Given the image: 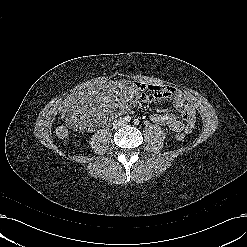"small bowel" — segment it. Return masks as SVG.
I'll return each instance as SVG.
<instances>
[{
  "label": "small bowel",
  "instance_id": "small-bowel-1",
  "mask_svg": "<svg viewBox=\"0 0 247 247\" xmlns=\"http://www.w3.org/2000/svg\"><path fill=\"white\" fill-rule=\"evenodd\" d=\"M141 91L152 90L153 96L142 95L141 99L145 102H153L156 99H171L173 100L176 109L182 116V119H177L170 113H155L150 115L151 121L159 125H163L172 131H183L190 133L195 126V109L187 97L178 89L172 86L160 84H140Z\"/></svg>",
  "mask_w": 247,
  "mask_h": 247
}]
</instances>
